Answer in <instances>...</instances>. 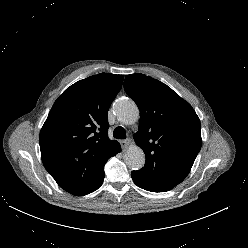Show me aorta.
<instances>
[{"label":"aorta","mask_w":248,"mask_h":248,"mask_svg":"<svg viewBox=\"0 0 248 248\" xmlns=\"http://www.w3.org/2000/svg\"><path fill=\"white\" fill-rule=\"evenodd\" d=\"M115 113L117 119L125 125H132L139 119V109L130 98L119 99L115 104ZM124 162L132 170L141 169L145 164L143 150L136 145L131 146L124 154Z\"/></svg>","instance_id":"obj_1"}]
</instances>
